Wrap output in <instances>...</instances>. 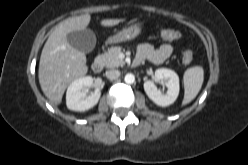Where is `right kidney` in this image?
<instances>
[{"instance_id": "obj_1", "label": "right kidney", "mask_w": 248, "mask_h": 165, "mask_svg": "<svg viewBox=\"0 0 248 165\" xmlns=\"http://www.w3.org/2000/svg\"><path fill=\"white\" fill-rule=\"evenodd\" d=\"M93 84L91 76L80 77L74 80L66 92V105L72 111H87L93 108L99 101L101 92L95 90L91 95L86 96V89Z\"/></svg>"}]
</instances>
